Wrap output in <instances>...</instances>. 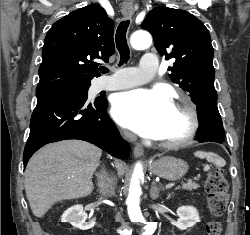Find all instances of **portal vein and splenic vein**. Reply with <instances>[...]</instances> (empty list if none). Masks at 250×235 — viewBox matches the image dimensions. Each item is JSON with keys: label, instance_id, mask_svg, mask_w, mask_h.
Segmentation results:
<instances>
[{"label": "portal vein and splenic vein", "instance_id": "obj_1", "mask_svg": "<svg viewBox=\"0 0 250 235\" xmlns=\"http://www.w3.org/2000/svg\"><path fill=\"white\" fill-rule=\"evenodd\" d=\"M174 185H175V183L168 184V185H166V189H171Z\"/></svg>", "mask_w": 250, "mask_h": 235}]
</instances>
